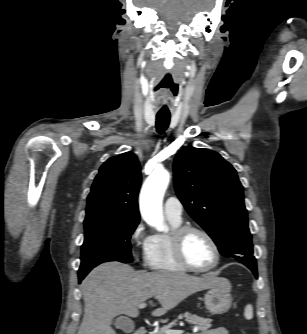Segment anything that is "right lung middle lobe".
Segmentation results:
<instances>
[{
	"instance_id": "right-lung-middle-lobe-1",
	"label": "right lung middle lobe",
	"mask_w": 307,
	"mask_h": 334,
	"mask_svg": "<svg viewBox=\"0 0 307 334\" xmlns=\"http://www.w3.org/2000/svg\"><path fill=\"white\" fill-rule=\"evenodd\" d=\"M138 223L114 219L85 220L79 276H86L103 262H132L130 237Z\"/></svg>"
}]
</instances>
